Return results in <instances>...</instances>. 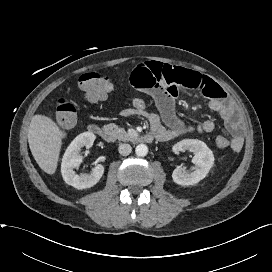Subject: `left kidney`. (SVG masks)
I'll return each instance as SVG.
<instances>
[{"label": "left kidney", "mask_w": 272, "mask_h": 272, "mask_svg": "<svg viewBox=\"0 0 272 272\" xmlns=\"http://www.w3.org/2000/svg\"><path fill=\"white\" fill-rule=\"evenodd\" d=\"M173 150L193 152L192 162L195 164L193 172H185L181 168H176L172 173L173 181L182 186L194 185L204 179L214 164L213 152L208 146L197 139H184L173 146Z\"/></svg>", "instance_id": "5707ae66"}]
</instances>
